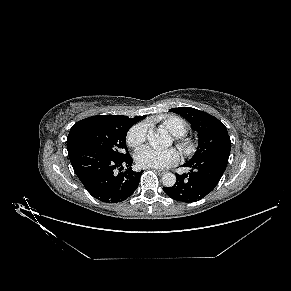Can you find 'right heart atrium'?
Segmentation results:
<instances>
[{
    "mask_svg": "<svg viewBox=\"0 0 291 291\" xmlns=\"http://www.w3.org/2000/svg\"><path fill=\"white\" fill-rule=\"evenodd\" d=\"M147 125L139 123L133 126L127 134V143L130 147L138 149L146 141Z\"/></svg>",
    "mask_w": 291,
    "mask_h": 291,
    "instance_id": "obj_1",
    "label": "right heart atrium"
}]
</instances>
